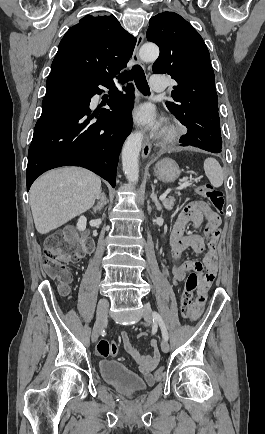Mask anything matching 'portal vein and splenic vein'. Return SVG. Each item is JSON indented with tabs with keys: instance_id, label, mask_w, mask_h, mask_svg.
I'll return each mask as SVG.
<instances>
[{
	"instance_id": "1",
	"label": "portal vein and splenic vein",
	"mask_w": 265,
	"mask_h": 434,
	"mask_svg": "<svg viewBox=\"0 0 265 434\" xmlns=\"http://www.w3.org/2000/svg\"><path fill=\"white\" fill-rule=\"evenodd\" d=\"M189 182H191V180H187V182H184V184H179L178 188H175V190H183V188H187V186H189ZM169 192H171V190H167V192H165V194H162V196H160L159 200H165L167 194H169Z\"/></svg>"
}]
</instances>
